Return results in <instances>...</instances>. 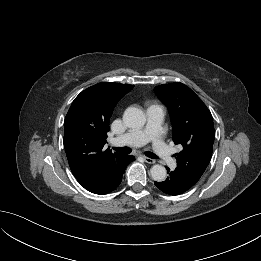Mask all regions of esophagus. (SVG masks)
<instances>
[{
	"label": "esophagus",
	"mask_w": 261,
	"mask_h": 261,
	"mask_svg": "<svg viewBox=\"0 0 261 261\" xmlns=\"http://www.w3.org/2000/svg\"><path fill=\"white\" fill-rule=\"evenodd\" d=\"M143 158H144V160H145L146 163H149V164H154V163H155V160H154V159H151V158H149V157H143Z\"/></svg>",
	"instance_id": "1"
}]
</instances>
